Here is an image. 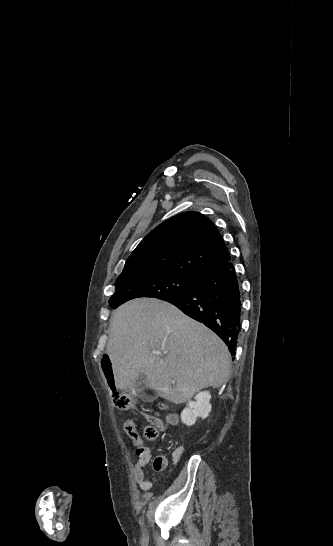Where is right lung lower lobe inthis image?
Segmentation results:
<instances>
[{"label": "right lung lower lobe", "mask_w": 333, "mask_h": 546, "mask_svg": "<svg viewBox=\"0 0 333 546\" xmlns=\"http://www.w3.org/2000/svg\"><path fill=\"white\" fill-rule=\"evenodd\" d=\"M213 330L235 355L241 328V291L228 261L203 275L191 290L164 299Z\"/></svg>", "instance_id": "right-lung-lower-lobe-1"}]
</instances>
